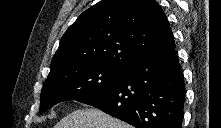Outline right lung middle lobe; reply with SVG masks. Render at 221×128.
<instances>
[{"instance_id": "1", "label": "right lung middle lobe", "mask_w": 221, "mask_h": 128, "mask_svg": "<svg viewBox=\"0 0 221 128\" xmlns=\"http://www.w3.org/2000/svg\"><path fill=\"white\" fill-rule=\"evenodd\" d=\"M128 68L100 64L64 67L49 73L40 96L39 113L68 100L80 101L120 80Z\"/></svg>"}]
</instances>
